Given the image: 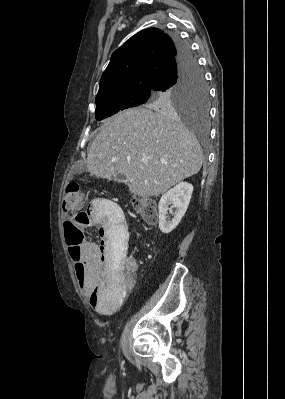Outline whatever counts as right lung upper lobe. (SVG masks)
I'll use <instances>...</instances> for the list:
<instances>
[{"instance_id":"obj_1","label":"right lung upper lobe","mask_w":285,"mask_h":399,"mask_svg":"<svg viewBox=\"0 0 285 399\" xmlns=\"http://www.w3.org/2000/svg\"><path fill=\"white\" fill-rule=\"evenodd\" d=\"M176 56L174 41L162 30L149 28L136 33L112 54L96 98L131 89H152Z\"/></svg>"}]
</instances>
